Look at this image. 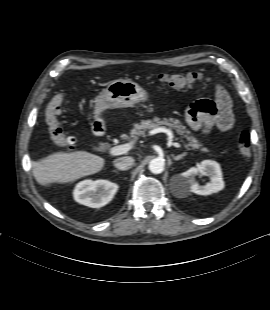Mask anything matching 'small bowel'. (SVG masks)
Here are the masks:
<instances>
[{
  "mask_svg": "<svg viewBox=\"0 0 270 310\" xmlns=\"http://www.w3.org/2000/svg\"><path fill=\"white\" fill-rule=\"evenodd\" d=\"M205 100L202 96L193 103L186 113V122L194 130L208 132L212 127L228 131L234 123L231 99L222 85L215 86V105L218 114L203 113L197 108V102Z\"/></svg>",
  "mask_w": 270,
  "mask_h": 310,
  "instance_id": "1",
  "label": "small bowel"
}]
</instances>
